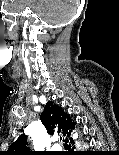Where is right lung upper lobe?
I'll list each match as a JSON object with an SVG mask.
<instances>
[{
    "label": "right lung upper lobe",
    "mask_w": 119,
    "mask_h": 155,
    "mask_svg": "<svg viewBox=\"0 0 119 155\" xmlns=\"http://www.w3.org/2000/svg\"><path fill=\"white\" fill-rule=\"evenodd\" d=\"M40 119L48 132L53 133L54 130L62 133L65 140L70 136L74 129V122L69 114L65 113L61 107L54 105L51 101L45 106L41 113ZM27 145V137L22 134L14 143L10 145L4 155H33Z\"/></svg>",
    "instance_id": "cb5924a9"
}]
</instances>
